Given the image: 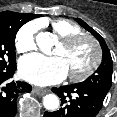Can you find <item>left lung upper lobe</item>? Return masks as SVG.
<instances>
[{
	"label": "left lung upper lobe",
	"instance_id": "5c2ea615",
	"mask_svg": "<svg viewBox=\"0 0 117 117\" xmlns=\"http://www.w3.org/2000/svg\"><path fill=\"white\" fill-rule=\"evenodd\" d=\"M75 20L78 22V24H80L83 28L88 30L93 36L97 38L103 50V59L99 68L88 79L79 84L93 88L106 95L111 87L112 82V58L110 51L104 39L94 29H92L89 25H87L83 20L79 18Z\"/></svg>",
	"mask_w": 117,
	"mask_h": 117
}]
</instances>
